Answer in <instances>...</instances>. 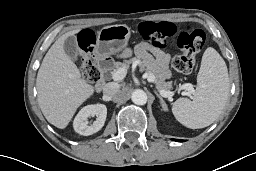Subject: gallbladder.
I'll use <instances>...</instances> for the list:
<instances>
[{
    "label": "gallbladder",
    "instance_id": "bac80fb5",
    "mask_svg": "<svg viewBox=\"0 0 256 171\" xmlns=\"http://www.w3.org/2000/svg\"><path fill=\"white\" fill-rule=\"evenodd\" d=\"M64 51L72 60H77L79 54V47L75 36H69L64 42Z\"/></svg>",
    "mask_w": 256,
    "mask_h": 171
}]
</instances>
